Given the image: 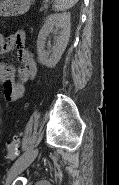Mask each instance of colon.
Instances as JSON below:
<instances>
[{"mask_svg": "<svg viewBox=\"0 0 119 185\" xmlns=\"http://www.w3.org/2000/svg\"><path fill=\"white\" fill-rule=\"evenodd\" d=\"M6 84H9V80H6ZM20 154L19 137L14 136L13 139L6 146V159L11 162L16 159Z\"/></svg>", "mask_w": 119, "mask_h": 185, "instance_id": "5ec220e1", "label": "colon"}]
</instances>
